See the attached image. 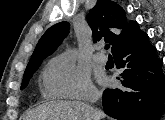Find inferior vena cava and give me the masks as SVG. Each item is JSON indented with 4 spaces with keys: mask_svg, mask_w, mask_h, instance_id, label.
<instances>
[{
    "mask_svg": "<svg viewBox=\"0 0 165 120\" xmlns=\"http://www.w3.org/2000/svg\"><path fill=\"white\" fill-rule=\"evenodd\" d=\"M100 93H98V92H93V93H91L90 94V96H89V102L90 103H94V102H96L99 98H100Z\"/></svg>",
    "mask_w": 165,
    "mask_h": 120,
    "instance_id": "inferior-vena-cava-1",
    "label": "inferior vena cava"
}]
</instances>
